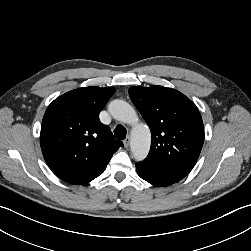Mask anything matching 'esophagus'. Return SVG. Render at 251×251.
<instances>
[{"instance_id":"1","label":"esophagus","mask_w":251,"mask_h":251,"mask_svg":"<svg viewBox=\"0 0 251 251\" xmlns=\"http://www.w3.org/2000/svg\"><path fill=\"white\" fill-rule=\"evenodd\" d=\"M123 144H124V147H125V148H128V147H129V144H130V139H129V137H127V138L123 141Z\"/></svg>"}]
</instances>
